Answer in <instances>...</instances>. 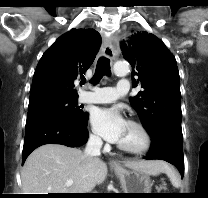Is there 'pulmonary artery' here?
<instances>
[{"label": "pulmonary artery", "instance_id": "pulmonary-artery-1", "mask_svg": "<svg viewBox=\"0 0 208 198\" xmlns=\"http://www.w3.org/2000/svg\"><path fill=\"white\" fill-rule=\"evenodd\" d=\"M130 89L127 79H121L116 87H91L80 94L83 103H111L125 96Z\"/></svg>", "mask_w": 208, "mask_h": 198}]
</instances>
